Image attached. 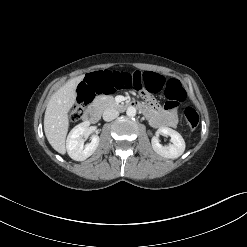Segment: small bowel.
<instances>
[{"label":"small bowel","instance_id":"obj_1","mask_svg":"<svg viewBox=\"0 0 247 247\" xmlns=\"http://www.w3.org/2000/svg\"><path fill=\"white\" fill-rule=\"evenodd\" d=\"M143 110L150 124L155 128H175L178 123V115L173 107H159L153 100L147 99Z\"/></svg>","mask_w":247,"mask_h":247}]
</instances>
